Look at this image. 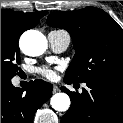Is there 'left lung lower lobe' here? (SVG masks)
<instances>
[{"instance_id":"obj_1","label":"left lung lower lobe","mask_w":123,"mask_h":123,"mask_svg":"<svg viewBox=\"0 0 123 123\" xmlns=\"http://www.w3.org/2000/svg\"><path fill=\"white\" fill-rule=\"evenodd\" d=\"M67 84L73 81L64 78ZM88 89L81 94L65 91L71 106L61 123H123V79H96L85 82Z\"/></svg>"}]
</instances>
